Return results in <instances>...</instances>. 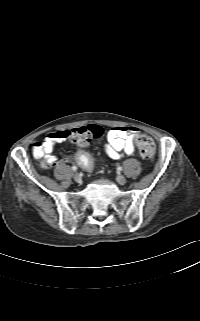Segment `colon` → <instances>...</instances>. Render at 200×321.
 <instances>
[{"mask_svg": "<svg viewBox=\"0 0 200 321\" xmlns=\"http://www.w3.org/2000/svg\"><path fill=\"white\" fill-rule=\"evenodd\" d=\"M104 131L100 126L88 125L85 127H79L67 131L65 137L82 146L85 147L93 142L98 141L103 136ZM136 145L140 156L143 159H152L155 154V144L154 141L147 135L140 134L137 136ZM41 144H35V153H39L41 150ZM75 160L84 169L90 170L93 167V159L89 153L85 150H80L75 155ZM43 167H50L46 161L43 163Z\"/></svg>", "mask_w": 200, "mask_h": 321, "instance_id": "5ec220e1", "label": "colon"}]
</instances>
